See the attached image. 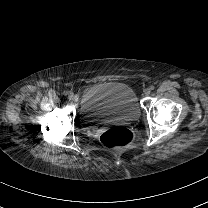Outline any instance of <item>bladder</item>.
<instances>
[{"label":"bladder","instance_id":"31cf9c89","mask_svg":"<svg viewBox=\"0 0 208 208\" xmlns=\"http://www.w3.org/2000/svg\"><path fill=\"white\" fill-rule=\"evenodd\" d=\"M83 122L133 121L140 107L133 90L120 83H99L86 88L81 100Z\"/></svg>","mask_w":208,"mask_h":208}]
</instances>
